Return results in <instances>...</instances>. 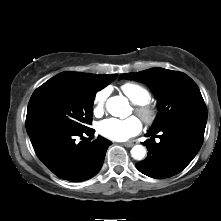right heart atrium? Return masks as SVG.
<instances>
[{"label":"right heart atrium","mask_w":221,"mask_h":221,"mask_svg":"<svg viewBox=\"0 0 221 221\" xmlns=\"http://www.w3.org/2000/svg\"><path fill=\"white\" fill-rule=\"evenodd\" d=\"M109 93V88H104L95 94L93 100V112L95 115H100L104 111L105 103L107 101Z\"/></svg>","instance_id":"1"}]
</instances>
